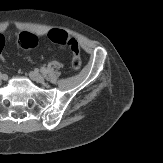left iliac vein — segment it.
I'll list each match as a JSON object with an SVG mask.
<instances>
[{
	"instance_id": "1",
	"label": "left iliac vein",
	"mask_w": 163,
	"mask_h": 163,
	"mask_svg": "<svg viewBox=\"0 0 163 163\" xmlns=\"http://www.w3.org/2000/svg\"><path fill=\"white\" fill-rule=\"evenodd\" d=\"M30 77H31V79H33L34 81H36L38 83L44 82V77L36 71L30 72Z\"/></svg>"
}]
</instances>
